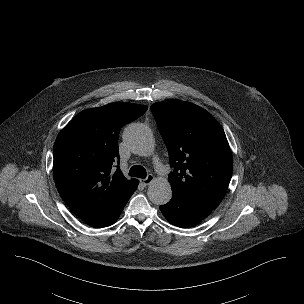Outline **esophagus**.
Returning <instances> with one entry per match:
<instances>
[{
  "label": "esophagus",
  "mask_w": 304,
  "mask_h": 304,
  "mask_svg": "<svg viewBox=\"0 0 304 304\" xmlns=\"http://www.w3.org/2000/svg\"><path fill=\"white\" fill-rule=\"evenodd\" d=\"M155 177L152 174H149L145 179H142V183L146 186L151 184L154 181Z\"/></svg>",
  "instance_id": "34e87169"
}]
</instances>
